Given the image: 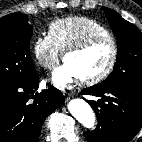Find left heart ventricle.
<instances>
[{
    "label": "left heart ventricle",
    "mask_w": 142,
    "mask_h": 142,
    "mask_svg": "<svg viewBox=\"0 0 142 142\" xmlns=\"http://www.w3.org/2000/svg\"><path fill=\"white\" fill-rule=\"evenodd\" d=\"M111 55V44L100 41L83 51L69 54L65 61L74 68L79 78H85L101 72L109 63Z\"/></svg>",
    "instance_id": "b2bd125f"
}]
</instances>
